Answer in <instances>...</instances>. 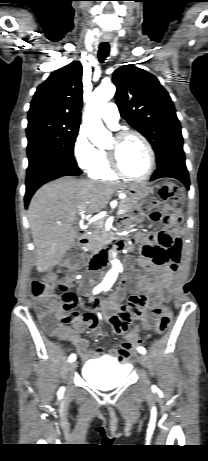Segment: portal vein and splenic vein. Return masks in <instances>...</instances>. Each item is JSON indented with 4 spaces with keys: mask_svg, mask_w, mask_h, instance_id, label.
<instances>
[{
    "mask_svg": "<svg viewBox=\"0 0 208 461\" xmlns=\"http://www.w3.org/2000/svg\"><path fill=\"white\" fill-rule=\"evenodd\" d=\"M124 213H125V210L121 208L117 211V215H122ZM80 215L83 216V212H81Z\"/></svg>",
    "mask_w": 208,
    "mask_h": 461,
    "instance_id": "18ae733b",
    "label": "portal vein and splenic vein"
}]
</instances>
